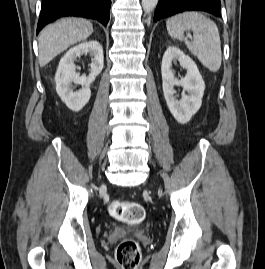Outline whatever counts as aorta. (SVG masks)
<instances>
[{
    "label": "aorta",
    "mask_w": 265,
    "mask_h": 269,
    "mask_svg": "<svg viewBox=\"0 0 265 269\" xmlns=\"http://www.w3.org/2000/svg\"><path fill=\"white\" fill-rule=\"evenodd\" d=\"M158 3V0H142V7L145 13L152 12L156 5Z\"/></svg>",
    "instance_id": "762f6f07"
}]
</instances>
